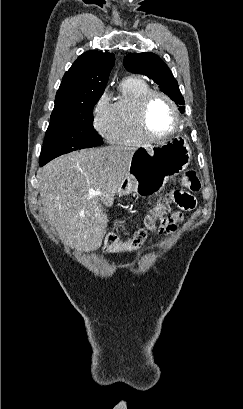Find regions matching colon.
I'll return each mask as SVG.
<instances>
[{"label":"colon","mask_w":243,"mask_h":409,"mask_svg":"<svg viewBox=\"0 0 243 409\" xmlns=\"http://www.w3.org/2000/svg\"><path fill=\"white\" fill-rule=\"evenodd\" d=\"M181 185L191 192H198L201 188L198 174L194 170L187 171L181 178ZM186 194L181 190H173L169 195L159 198L145 216L144 228L135 232L127 241L119 240L114 234L108 235L104 241L103 253L138 251L146 241L149 232H164L163 221L174 206L187 207L190 205Z\"/></svg>","instance_id":"obj_1"}]
</instances>
